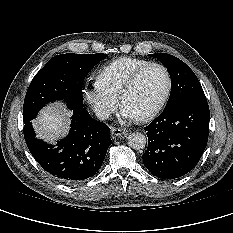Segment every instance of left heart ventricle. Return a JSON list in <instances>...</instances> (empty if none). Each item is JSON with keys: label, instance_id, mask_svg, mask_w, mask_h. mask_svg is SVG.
I'll return each mask as SVG.
<instances>
[{"label": "left heart ventricle", "instance_id": "obj_1", "mask_svg": "<svg viewBox=\"0 0 233 233\" xmlns=\"http://www.w3.org/2000/svg\"><path fill=\"white\" fill-rule=\"evenodd\" d=\"M167 87L164 71L157 67L147 69L135 87L126 95L123 106L138 118L150 112L162 99Z\"/></svg>", "mask_w": 233, "mask_h": 233}]
</instances>
